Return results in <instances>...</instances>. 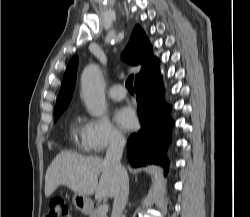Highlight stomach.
<instances>
[{"instance_id": "stomach-1", "label": "stomach", "mask_w": 250, "mask_h": 217, "mask_svg": "<svg viewBox=\"0 0 250 217\" xmlns=\"http://www.w3.org/2000/svg\"><path fill=\"white\" fill-rule=\"evenodd\" d=\"M73 204L77 210H79L81 213L88 215L91 213L93 209V201L89 196L86 195H80L75 194L73 196Z\"/></svg>"}]
</instances>
